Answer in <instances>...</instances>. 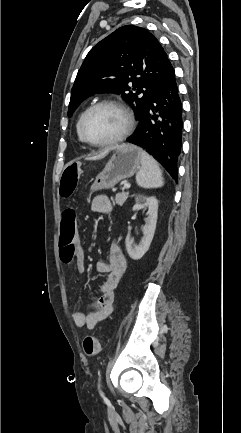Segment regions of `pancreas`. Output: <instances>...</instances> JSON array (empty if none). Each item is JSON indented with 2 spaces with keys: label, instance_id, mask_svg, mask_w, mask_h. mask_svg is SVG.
Segmentation results:
<instances>
[{
  "label": "pancreas",
  "instance_id": "obj_1",
  "mask_svg": "<svg viewBox=\"0 0 241 433\" xmlns=\"http://www.w3.org/2000/svg\"><path fill=\"white\" fill-rule=\"evenodd\" d=\"M128 195H129V192H121V193L116 194L115 200L113 201V203L117 204L119 206H122L125 203V201L127 200Z\"/></svg>",
  "mask_w": 241,
  "mask_h": 433
}]
</instances>
